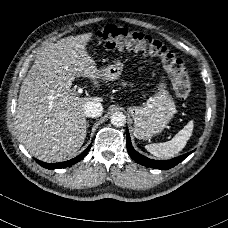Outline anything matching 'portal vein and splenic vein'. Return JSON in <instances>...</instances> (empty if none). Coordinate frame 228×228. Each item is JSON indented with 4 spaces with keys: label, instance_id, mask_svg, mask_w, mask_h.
Here are the masks:
<instances>
[{
    "label": "portal vein and splenic vein",
    "instance_id": "portal-vein-and-splenic-vein-1",
    "mask_svg": "<svg viewBox=\"0 0 228 228\" xmlns=\"http://www.w3.org/2000/svg\"><path fill=\"white\" fill-rule=\"evenodd\" d=\"M74 92L77 93L78 95H81L83 93V88L80 86H75Z\"/></svg>",
    "mask_w": 228,
    "mask_h": 228
}]
</instances>
